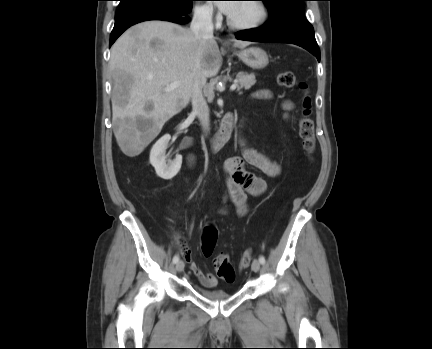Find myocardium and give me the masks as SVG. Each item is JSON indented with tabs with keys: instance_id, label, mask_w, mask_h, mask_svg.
Here are the masks:
<instances>
[{
	"instance_id": "myocardium-1",
	"label": "myocardium",
	"mask_w": 432,
	"mask_h": 349,
	"mask_svg": "<svg viewBox=\"0 0 432 349\" xmlns=\"http://www.w3.org/2000/svg\"><path fill=\"white\" fill-rule=\"evenodd\" d=\"M250 1H252L259 9L260 14L258 18L252 22L238 23L232 20L230 16H227V24L231 29L239 30V31L253 30L259 28L267 21L269 16V10L265 2L263 0H250Z\"/></svg>"
}]
</instances>
